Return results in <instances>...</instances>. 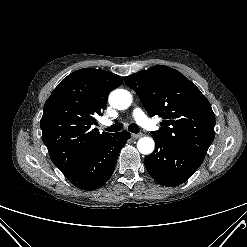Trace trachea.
Segmentation results:
<instances>
[{"label":"trachea","instance_id":"obj_1","mask_svg":"<svg viewBox=\"0 0 247 247\" xmlns=\"http://www.w3.org/2000/svg\"><path fill=\"white\" fill-rule=\"evenodd\" d=\"M121 129H122V124L116 123V124H114V125H112L110 127H107L105 130L108 131V132H118ZM128 129H129L130 132L135 133V134L139 133V131H140L138 125H136L134 123L130 124Z\"/></svg>","mask_w":247,"mask_h":247}]
</instances>
